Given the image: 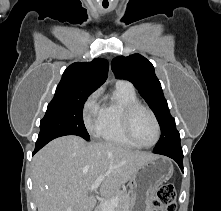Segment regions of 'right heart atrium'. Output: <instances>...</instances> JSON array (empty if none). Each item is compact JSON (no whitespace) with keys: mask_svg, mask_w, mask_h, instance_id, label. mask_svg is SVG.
<instances>
[{"mask_svg":"<svg viewBox=\"0 0 221 211\" xmlns=\"http://www.w3.org/2000/svg\"><path fill=\"white\" fill-rule=\"evenodd\" d=\"M102 105L100 102V91H94L85 100L82 107V119L86 129L97 132L101 124Z\"/></svg>","mask_w":221,"mask_h":211,"instance_id":"1","label":"right heart atrium"}]
</instances>
